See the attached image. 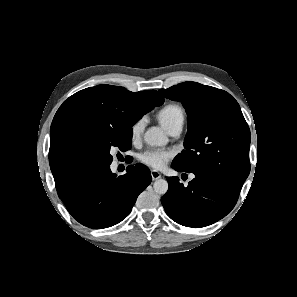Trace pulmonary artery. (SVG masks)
I'll list each match as a JSON object with an SVG mask.
<instances>
[{
    "instance_id": "1",
    "label": "pulmonary artery",
    "mask_w": 297,
    "mask_h": 297,
    "mask_svg": "<svg viewBox=\"0 0 297 297\" xmlns=\"http://www.w3.org/2000/svg\"><path fill=\"white\" fill-rule=\"evenodd\" d=\"M182 126H176L169 133L173 136L178 135L181 132Z\"/></svg>"
}]
</instances>
